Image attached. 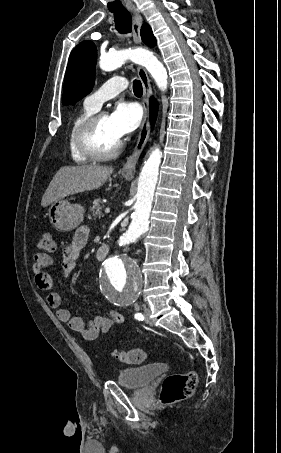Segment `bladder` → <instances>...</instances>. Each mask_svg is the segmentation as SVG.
<instances>
[{
    "label": "bladder",
    "mask_w": 281,
    "mask_h": 453,
    "mask_svg": "<svg viewBox=\"0 0 281 453\" xmlns=\"http://www.w3.org/2000/svg\"><path fill=\"white\" fill-rule=\"evenodd\" d=\"M167 370L166 365L159 363L130 368L119 374L117 382L119 385L127 388H143L160 375L166 373Z\"/></svg>",
    "instance_id": "31cf9c89"
}]
</instances>
